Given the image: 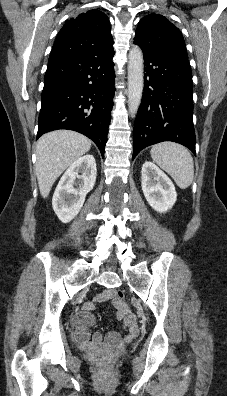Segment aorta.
Instances as JSON below:
<instances>
[{
    "label": "aorta",
    "mask_w": 227,
    "mask_h": 396,
    "mask_svg": "<svg viewBox=\"0 0 227 396\" xmlns=\"http://www.w3.org/2000/svg\"><path fill=\"white\" fill-rule=\"evenodd\" d=\"M143 53L138 46H133L129 51L128 61V109L134 117L139 109L144 87Z\"/></svg>",
    "instance_id": "762f6f07"
}]
</instances>
